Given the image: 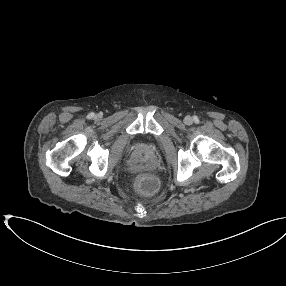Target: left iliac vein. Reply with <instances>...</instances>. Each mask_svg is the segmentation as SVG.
<instances>
[{
    "instance_id": "4c4485c4",
    "label": "left iliac vein",
    "mask_w": 286,
    "mask_h": 286,
    "mask_svg": "<svg viewBox=\"0 0 286 286\" xmlns=\"http://www.w3.org/2000/svg\"><path fill=\"white\" fill-rule=\"evenodd\" d=\"M184 122L186 123V124H191L192 122H193V120H192V117L191 116H186L185 118H184Z\"/></svg>"
}]
</instances>
